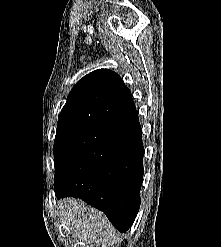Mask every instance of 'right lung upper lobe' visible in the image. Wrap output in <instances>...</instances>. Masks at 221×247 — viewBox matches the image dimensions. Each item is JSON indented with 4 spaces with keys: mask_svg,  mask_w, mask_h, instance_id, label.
Here are the masks:
<instances>
[{
    "mask_svg": "<svg viewBox=\"0 0 221 247\" xmlns=\"http://www.w3.org/2000/svg\"><path fill=\"white\" fill-rule=\"evenodd\" d=\"M135 109L131 92L120 76L111 70L98 69L72 88L59 115L57 129H88Z\"/></svg>",
    "mask_w": 221,
    "mask_h": 247,
    "instance_id": "right-lung-upper-lobe-1",
    "label": "right lung upper lobe"
}]
</instances>
